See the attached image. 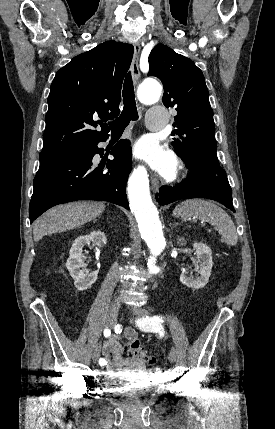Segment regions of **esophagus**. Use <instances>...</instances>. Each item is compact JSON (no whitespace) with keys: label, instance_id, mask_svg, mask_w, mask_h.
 <instances>
[{"label":"esophagus","instance_id":"1","mask_svg":"<svg viewBox=\"0 0 275 429\" xmlns=\"http://www.w3.org/2000/svg\"><path fill=\"white\" fill-rule=\"evenodd\" d=\"M139 56H140V45L136 43L134 45V56L131 64V72H132L133 79L135 81H137L140 77ZM151 189L152 191H158L159 189V180L156 177V175H153L151 177Z\"/></svg>","mask_w":275,"mask_h":429}]
</instances>
